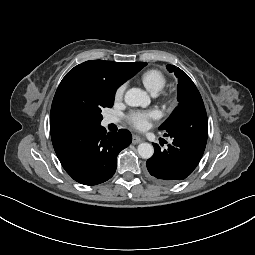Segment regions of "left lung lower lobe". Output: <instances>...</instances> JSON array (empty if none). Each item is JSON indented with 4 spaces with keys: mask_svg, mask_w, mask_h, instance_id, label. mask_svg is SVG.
I'll return each instance as SVG.
<instances>
[{
    "mask_svg": "<svg viewBox=\"0 0 255 255\" xmlns=\"http://www.w3.org/2000/svg\"><path fill=\"white\" fill-rule=\"evenodd\" d=\"M173 139L166 150L154 144L153 156L146 165L150 175L167 184L186 179L197 167L208 138V120L204 106L183 116L164 131Z\"/></svg>",
    "mask_w": 255,
    "mask_h": 255,
    "instance_id": "obj_1",
    "label": "left lung lower lobe"
}]
</instances>
